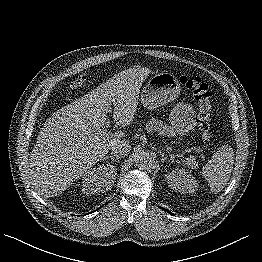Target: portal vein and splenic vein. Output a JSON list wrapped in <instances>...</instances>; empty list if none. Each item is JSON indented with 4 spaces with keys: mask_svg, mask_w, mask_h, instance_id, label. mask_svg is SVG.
<instances>
[{
    "mask_svg": "<svg viewBox=\"0 0 262 262\" xmlns=\"http://www.w3.org/2000/svg\"><path fill=\"white\" fill-rule=\"evenodd\" d=\"M110 136H112V134L109 133L106 128H103L98 131L97 135L95 136V139L96 140L106 139ZM187 164L188 165L195 164V161H193V159H190V161H188Z\"/></svg>",
    "mask_w": 262,
    "mask_h": 262,
    "instance_id": "18ae733b",
    "label": "portal vein and splenic vein"
}]
</instances>
